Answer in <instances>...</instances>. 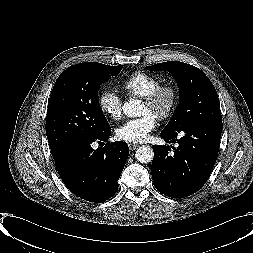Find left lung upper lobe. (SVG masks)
<instances>
[{"instance_id":"left-lung-upper-lobe-1","label":"left lung upper lobe","mask_w":253,"mask_h":253,"mask_svg":"<svg viewBox=\"0 0 253 253\" xmlns=\"http://www.w3.org/2000/svg\"><path fill=\"white\" fill-rule=\"evenodd\" d=\"M146 69L171 72L180 87V104L161 133L174 134L191 123H222L216 89L203 71L180 61L158 63Z\"/></svg>"}]
</instances>
